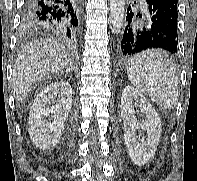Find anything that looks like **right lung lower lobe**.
<instances>
[{"label": "right lung lower lobe", "mask_w": 197, "mask_h": 181, "mask_svg": "<svg viewBox=\"0 0 197 181\" xmlns=\"http://www.w3.org/2000/svg\"><path fill=\"white\" fill-rule=\"evenodd\" d=\"M82 22V0H25L22 24L42 26L71 42L78 39Z\"/></svg>", "instance_id": "right-lung-lower-lobe-1"}]
</instances>
